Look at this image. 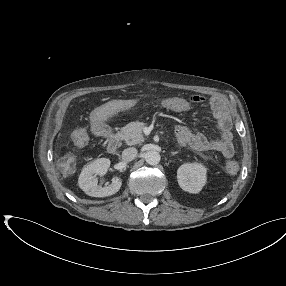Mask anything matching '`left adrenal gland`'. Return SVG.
I'll list each match as a JSON object with an SVG mask.
<instances>
[{
    "mask_svg": "<svg viewBox=\"0 0 286 286\" xmlns=\"http://www.w3.org/2000/svg\"><path fill=\"white\" fill-rule=\"evenodd\" d=\"M177 153H178V151H175V152H172L171 155L173 156V155H175Z\"/></svg>",
    "mask_w": 286,
    "mask_h": 286,
    "instance_id": "a2214340",
    "label": "left adrenal gland"
}]
</instances>
